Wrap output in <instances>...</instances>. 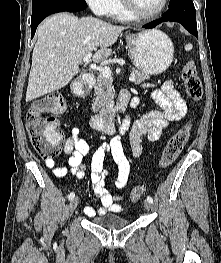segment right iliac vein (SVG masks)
I'll list each match as a JSON object with an SVG mask.
<instances>
[{
	"label": "right iliac vein",
	"instance_id": "1",
	"mask_svg": "<svg viewBox=\"0 0 221 263\" xmlns=\"http://www.w3.org/2000/svg\"><path fill=\"white\" fill-rule=\"evenodd\" d=\"M79 204V198H73L69 204V211L70 213H73V211L77 208Z\"/></svg>",
	"mask_w": 221,
	"mask_h": 263
}]
</instances>
